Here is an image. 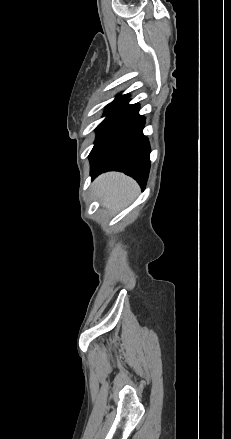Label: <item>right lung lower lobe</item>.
<instances>
[{
	"instance_id": "98d812e1",
	"label": "right lung lower lobe",
	"mask_w": 231,
	"mask_h": 439,
	"mask_svg": "<svg viewBox=\"0 0 231 439\" xmlns=\"http://www.w3.org/2000/svg\"><path fill=\"white\" fill-rule=\"evenodd\" d=\"M145 118L138 116L108 135L89 157L91 176L106 171H121L133 177L144 189L150 168V146L143 135Z\"/></svg>"
}]
</instances>
